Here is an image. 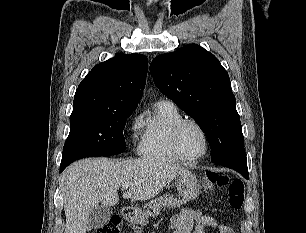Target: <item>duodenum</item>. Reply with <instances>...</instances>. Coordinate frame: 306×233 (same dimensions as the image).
I'll return each mask as SVG.
<instances>
[{"instance_id":"1","label":"duodenum","mask_w":306,"mask_h":233,"mask_svg":"<svg viewBox=\"0 0 306 233\" xmlns=\"http://www.w3.org/2000/svg\"><path fill=\"white\" fill-rule=\"evenodd\" d=\"M122 213H123V217L125 218L127 222L132 223L134 221L135 210L133 208L125 207Z\"/></svg>"}]
</instances>
